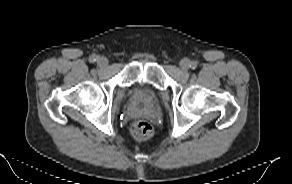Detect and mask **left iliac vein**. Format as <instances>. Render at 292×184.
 Returning <instances> with one entry per match:
<instances>
[{
    "instance_id": "left-iliac-vein-1",
    "label": "left iliac vein",
    "mask_w": 292,
    "mask_h": 184,
    "mask_svg": "<svg viewBox=\"0 0 292 184\" xmlns=\"http://www.w3.org/2000/svg\"><path fill=\"white\" fill-rule=\"evenodd\" d=\"M190 62L188 59H182L179 63V66L182 71H187L189 69Z\"/></svg>"
}]
</instances>
